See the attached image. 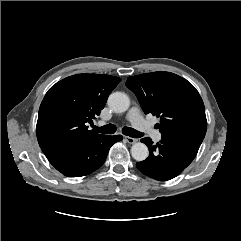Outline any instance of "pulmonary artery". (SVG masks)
<instances>
[{
	"label": "pulmonary artery",
	"mask_w": 241,
	"mask_h": 241,
	"mask_svg": "<svg viewBox=\"0 0 241 241\" xmlns=\"http://www.w3.org/2000/svg\"><path fill=\"white\" fill-rule=\"evenodd\" d=\"M127 120L139 131L149 134L154 141L158 142L162 139L161 133L155 130L152 125L141 116L137 107H132L129 110Z\"/></svg>",
	"instance_id": "e3ab8cb5"
}]
</instances>
